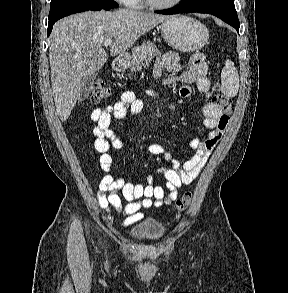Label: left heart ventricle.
Returning <instances> with one entry per match:
<instances>
[{
    "label": "left heart ventricle",
    "mask_w": 288,
    "mask_h": 293,
    "mask_svg": "<svg viewBox=\"0 0 288 293\" xmlns=\"http://www.w3.org/2000/svg\"><path fill=\"white\" fill-rule=\"evenodd\" d=\"M155 1L159 3H167V2H170L171 0H155Z\"/></svg>",
    "instance_id": "obj_1"
}]
</instances>
